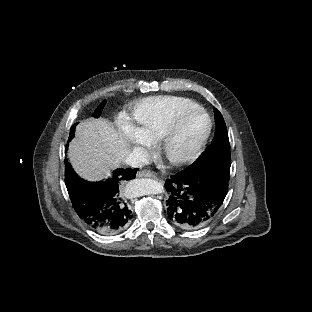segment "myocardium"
Listing matches in <instances>:
<instances>
[{
  "mask_svg": "<svg viewBox=\"0 0 312 312\" xmlns=\"http://www.w3.org/2000/svg\"><path fill=\"white\" fill-rule=\"evenodd\" d=\"M210 122L207 112L199 107L172 117L158 139L160 154L177 165L189 164L196 155L194 149H201L202 141L208 139L213 129Z\"/></svg>",
  "mask_w": 312,
  "mask_h": 312,
  "instance_id": "1",
  "label": "myocardium"
}]
</instances>
